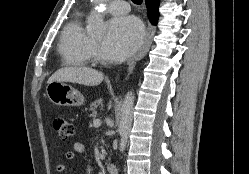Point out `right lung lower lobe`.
<instances>
[{"mask_svg":"<svg viewBox=\"0 0 249 174\" xmlns=\"http://www.w3.org/2000/svg\"><path fill=\"white\" fill-rule=\"evenodd\" d=\"M146 5L148 8L150 21L156 24L158 20L159 0H146Z\"/></svg>","mask_w":249,"mask_h":174,"instance_id":"right-lung-lower-lobe-1","label":"right lung lower lobe"}]
</instances>
